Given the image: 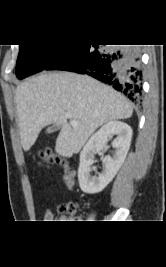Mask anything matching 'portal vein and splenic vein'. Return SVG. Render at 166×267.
<instances>
[{"label": "portal vein and splenic vein", "mask_w": 166, "mask_h": 267, "mask_svg": "<svg viewBox=\"0 0 166 267\" xmlns=\"http://www.w3.org/2000/svg\"><path fill=\"white\" fill-rule=\"evenodd\" d=\"M65 117L68 118V119H70V122H71V124L73 126H78V122L76 120L72 119V116L70 114L66 113L65 114Z\"/></svg>", "instance_id": "obj_1"}]
</instances>
